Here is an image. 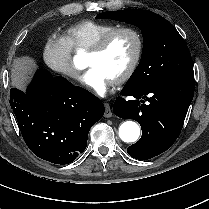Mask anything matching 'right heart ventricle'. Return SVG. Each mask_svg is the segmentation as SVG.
<instances>
[{
	"label": "right heart ventricle",
	"mask_w": 209,
	"mask_h": 209,
	"mask_svg": "<svg viewBox=\"0 0 209 209\" xmlns=\"http://www.w3.org/2000/svg\"><path fill=\"white\" fill-rule=\"evenodd\" d=\"M117 26L111 22L83 20L68 26L64 31V37L73 49L87 51Z\"/></svg>",
	"instance_id": "obj_1"
}]
</instances>
